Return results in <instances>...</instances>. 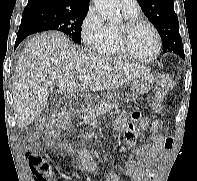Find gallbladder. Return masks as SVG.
Returning <instances> with one entry per match:
<instances>
[{"label":"gallbladder","mask_w":197,"mask_h":181,"mask_svg":"<svg viewBox=\"0 0 197 181\" xmlns=\"http://www.w3.org/2000/svg\"><path fill=\"white\" fill-rule=\"evenodd\" d=\"M48 92H49V94H52L54 92V89L53 88H50ZM48 105H49L50 109H52L53 106H54V100H52L50 98Z\"/></svg>","instance_id":"obj_1"}]
</instances>
